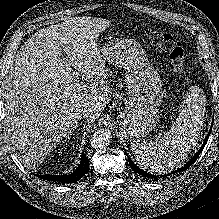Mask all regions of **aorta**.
I'll return each mask as SVG.
<instances>
[{"instance_id":"762f6f07","label":"aorta","mask_w":219,"mask_h":219,"mask_svg":"<svg viewBox=\"0 0 219 219\" xmlns=\"http://www.w3.org/2000/svg\"><path fill=\"white\" fill-rule=\"evenodd\" d=\"M112 140V134L110 130L106 128L98 129L91 138V146L95 149H103L107 147Z\"/></svg>"}]
</instances>
